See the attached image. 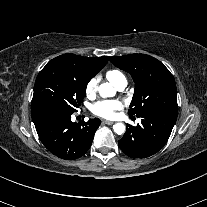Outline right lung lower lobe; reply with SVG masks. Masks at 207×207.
I'll use <instances>...</instances> for the list:
<instances>
[{
	"label": "right lung lower lobe",
	"instance_id": "1",
	"mask_svg": "<svg viewBox=\"0 0 207 207\" xmlns=\"http://www.w3.org/2000/svg\"><path fill=\"white\" fill-rule=\"evenodd\" d=\"M36 131L44 146L56 156L74 160L90 148L101 121L97 118L77 124L71 121L73 112L57 107L31 110Z\"/></svg>",
	"mask_w": 207,
	"mask_h": 207
}]
</instances>
